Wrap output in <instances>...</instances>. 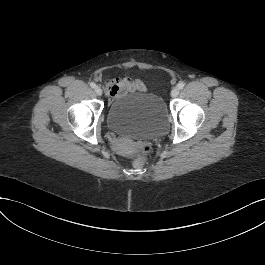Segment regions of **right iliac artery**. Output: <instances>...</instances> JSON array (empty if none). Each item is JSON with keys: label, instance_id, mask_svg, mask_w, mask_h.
<instances>
[{"label": "right iliac artery", "instance_id": "82829eb1", "mask_svg": "<svg viewBox=\"0 0 265 265\" xmlns=\"http://www.w3.org/2000/svg\"><path fill=\"white\" fill-rule=\"evenodd\" d=\"M90 86H91L92 88H95V87H96V84H95L94 82H91V83H90Z\"/></svg>", "mask_w": 265, "mask_h": 265}]
</instances>
